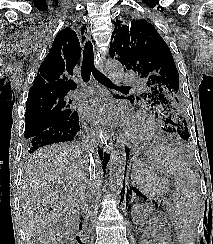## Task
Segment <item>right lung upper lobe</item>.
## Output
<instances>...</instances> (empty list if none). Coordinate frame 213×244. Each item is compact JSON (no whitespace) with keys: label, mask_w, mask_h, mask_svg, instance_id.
I'll return each instance as SVG.
<instances>
[{"label":"right lung upper lobe","mask_w":213,"mask_h":244,"mask_svg":"<svg viewBox=\"0 0 213 244\" xmlns=\"http://www.w3.org/2000/svg\"><path fill=\"white\" fill-rule=\"evenodd\" d=\"M81 48L79 39L71 28L66 27L55 37L48 55L40 65L28 97L55 94L67 95L76 89L70 79L74 67L80 65Z\"/></svg>","instance_id":"cb5924a9"}]
</instances>
